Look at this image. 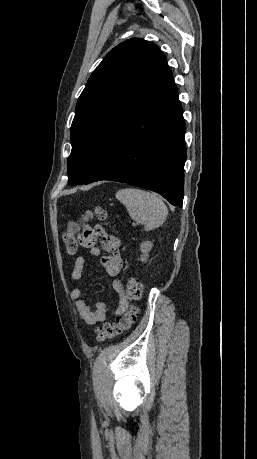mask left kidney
I'll list each match as a JSON object with an SVG mask.
<instances>
[{
    "label": "left kidney",
    "instance_id": "obj_1",
    "mask_svg": "<svg viewBox=\"0 0 257 459\" xmlns=\"http://www.w3.org/2000/svg\"><path fill=\"white\" fill-rule=\"evenodd\" d=\"M152 247H153V243L150 242V241H145V242L141 243L140 250L142 252V256H141V261L142 262H146V260L148 258V253L150 252Z\"/></svg>",
    "mask_w": 257,
    "mask_h": 459
}]
</instances>
